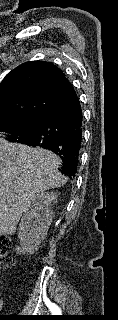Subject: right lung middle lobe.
<instances>
[{"mask_svg": "<svg viewBox=\"0 0 118 320\" xmlns=\"http://www.w3.org/2000/svg\"><path fill=\"white\" fill-rule=\"evenodd\" d=\"M45 120L42 119H3L0 120V132H7L11 137L9 140L16 142L29 137L38 131Z\"/></svg>", "mask_w": 118, "mask_h": 320, "instance_id": "obj_1", "label": "right lung middle lobe"}]
</instances>
